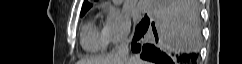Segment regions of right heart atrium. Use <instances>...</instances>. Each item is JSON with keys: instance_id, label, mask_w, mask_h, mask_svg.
<instances>
[{"instance_id": "d8ad5b80", "label": "right heart atrium", "mask_w": 242, "mask_h": 64, "mask_svg": "<svg viewBox=\"0 0 242 64\" xmlns=\"http://www.w3.org/2000/svg\"><path fill=\"white\" fill-rule=\"evenodd\" d=\"M131 22L129 17L115 8H108L103 25V33L107 44L117 46L129 39Z\"/></svg>"}]
</instances>
